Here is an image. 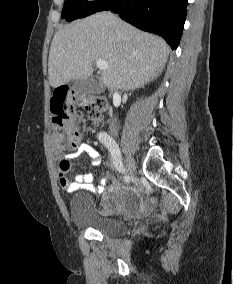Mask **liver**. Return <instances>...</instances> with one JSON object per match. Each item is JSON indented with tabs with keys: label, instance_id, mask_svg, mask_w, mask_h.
I'll list each match as a JSON object with an SVG mask.
<instances>
[{
	"label": "liver",
	"instance_id": "6515ba94",
	"mask_svg": "<svg viewBox=\"0 0 233 284\" xmlns=\"http://www.w3.org/2000/svg\"><path fill=\"white\" fill-rule=\"evenodd\" d=\"M170 47L159 36L138 30L111 13H96L60 28L48 59L49 83L57 88L93 73L103 59L100 81L109 90H133L153 81L167 62Z\"/></svg>",
	"mask_w": 233,
	"mask_h": 284
}]
</instances>
